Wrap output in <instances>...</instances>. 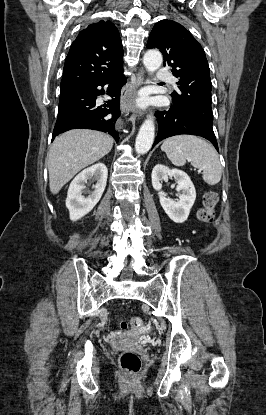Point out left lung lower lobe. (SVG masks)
<instances>
[{
    "label": "left lung lower lobe",
    "instance_id": "left-lung-lower-lobe-1",
    "mask_svg": "<svg viewBox=\"0 0 266 415\" xmlns=\"http://www.w3.org/2000/svg\"><path fill=\"white\" fill-rule=\"evenodd\" d=\"M159 131L153 147L161 140L180 134L197 135L209 140L218 151V144L213 129H210L186 115L175 105L167 111H157Z\"/></svg>",
    "mask_w": 266,
    "mask_h": 415
}]
</instances>
